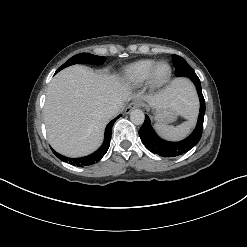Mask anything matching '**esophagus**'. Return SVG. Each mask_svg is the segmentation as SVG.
<instances>
[{
	"label": "esophagus",
	"instance_id": "obj_1",
	"mask_svg": "<svg viewBox=\"0 0 247 247\" xmlns=\"http://www.w3.org/2000/svg\"><path fill=\"white\" fill-rule=\"evenodd\" d=\"M141 105H142V104H141L139 101L135 100V101L131 102V103L127 106V108L125 109V113L128 114V113H130L133 109L138 108V107H140Z\"/></svg>",
	"mask_w": 247,
	"mask_h": 247
}]
</instances>
